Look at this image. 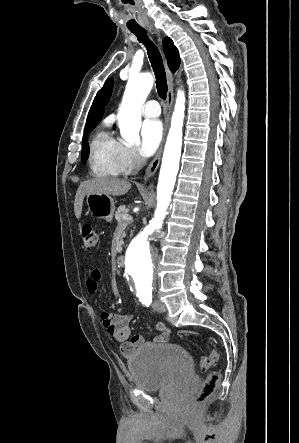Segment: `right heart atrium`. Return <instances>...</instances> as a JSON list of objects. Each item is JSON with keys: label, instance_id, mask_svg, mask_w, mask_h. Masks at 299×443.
<instances>
[{"label": "right heart atrium", "instance_id": "1", "mask_svg": "<svg viewBox=\"0 0 299 443\" xmlns=\"http://www.w3.org/2000/svg\"><path fill=\"white\" fill-rule=\"evenodd\" d=\"M119 164L123 173L132 172L141 167L143 158L136 148L125 143H120Z\"/></svg>", "mask_w": 299, "mask_h": 443}]
</instances>
